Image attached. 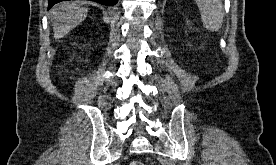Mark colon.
<instances>
[{
    "label": "colon",
    "instance_id": "obj_1",
    "mask_svg": "<svg viewBox=\"0 0 276 165\" xmlns=\"http://www.w3.org/2000/svg\"><path fill=\"white\" fill-rule=\"evenodd\" d=\"M130 165H145V164L140 161H135V162L131 163Z\"/></svg>",
    "mask_w": 276,
    "mask_h": 165
}]
</instances>
